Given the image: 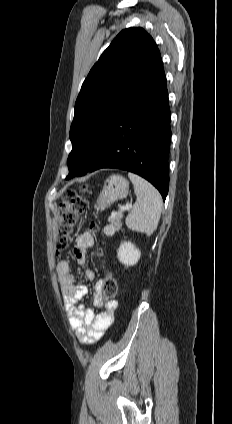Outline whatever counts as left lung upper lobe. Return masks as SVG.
Listing matches in <instances>:
<instances>
[{"instance_id": "1", "label": "left lung upper lobe", "mask_w": 232, "mask_h": 424, "mask_svg": "<svg viewBox=\"0 0 232 424\" xmlns=\"http://www.w3.org/2000/svg\"><path fill=\"white\" fill-rule=\"evenodd\" d=\"M160 62L156 43L140 27L121 31L103 52L75 103L67 179L89 171L111 126Z\"/></svg>"}]
</instances>
